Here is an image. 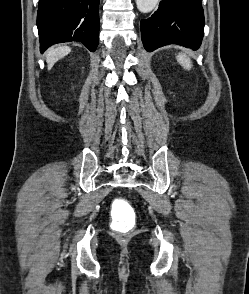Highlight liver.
<instances>
[{"label":"liver","mask_w":249,"mask_h":294,"mask_svg":"<svg viewBox=\"0 0 249 294\" xmlns=\"http://www.w3.org/2000/svg\"><path fill=\"white\" fill-rule=\"evenodd\" d=\"M70 51L71 49L68 46H59L56 48H50L46 52V62H47L48 70L51 69L58 60H60L61 58L69 54Z\"/></svg>","instance_id":"6515ba94"}]
</instances>
